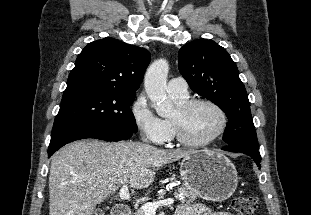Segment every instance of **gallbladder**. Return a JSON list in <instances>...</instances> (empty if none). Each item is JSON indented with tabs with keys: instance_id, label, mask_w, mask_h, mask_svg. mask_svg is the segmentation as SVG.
<instances>
[{
	"instance_id": "obj_1",
	"label": "gallbladder",
	"mask_w": 311,
	"mask_h": 215,
	"mask_svg": "<svg viewBox=\"0 0 311 215\" xmlns=\"http://www.w3.org/2000/svg\"><path fill=\"white\" fill-rule=\"evenodd\" d=\"M94 215H103V210L98 208L94 211Z\"/></svg>"
}]
</instances>
